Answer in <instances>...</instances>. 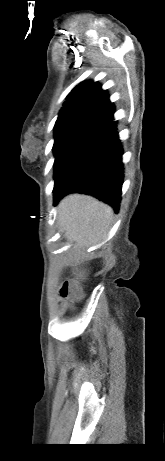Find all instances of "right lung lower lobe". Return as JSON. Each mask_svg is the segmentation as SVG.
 <instances>
[{"label":"right lung lower lobe","mask_w":165,"mask_h":461,"mask_svg":"<svg viewBox=\"0 0 165 461\" xmlns=\"http://www.w3.org/2000/svg\"><path fill=\"white\" fill-rule=\"evenodd\" d=\"M116 125L117 121L108 122L55 180L54 205L66 194L79 192L95 196L118 212L124 168Z\"/></svg>","instance_id":"98d812e1"}]
</instances>
